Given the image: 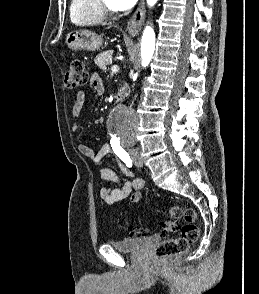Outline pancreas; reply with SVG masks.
<instances>
[{
    "mask_svg": "<svg viewBox=\"0 0 259 294\" xmlns=\"http://www.w3.org/2000/svg\"><path fill=\"white\" fill-rule=\"evenodd\" d=\"M112 51H105L100 53L95 58V64L102 70H107V66L112 63Z\"/></svg>",
    "mask_w": 259,
    "mask_h": 294,
    "instance_id": "1",
    "label": "pancreas"
}]
</instances>
